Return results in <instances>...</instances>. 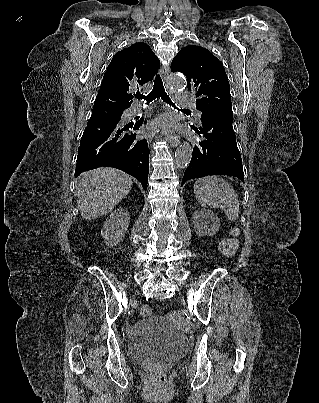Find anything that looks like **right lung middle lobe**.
<instances>
[{
  "instance_id": "1",
  "label": "right lung middle lobe",
  "mask_w": 319,
  "mask_h": 403,
  "mask_svg": "<svg viewBox=\"0 0 319 403\" xmlns=\"http://www.w3.org/2000/svg\"><path fill=\"white\" fill-rule=\"evenodd\" d=\"M122 112L123 111L120 109L107 108V107H94L91 118L102 116V115H117V114H122Z\"/></svg>"
}]
</instances>
